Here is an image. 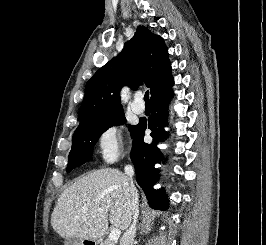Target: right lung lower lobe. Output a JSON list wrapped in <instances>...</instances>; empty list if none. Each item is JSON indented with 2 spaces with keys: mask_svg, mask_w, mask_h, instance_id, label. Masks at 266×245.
<instances>
[{
  "mask_svg": "<svg viewBox=\"0 0 266 245\" xmlns=\"http://www.w3.org/2000/svg\"><path fill=\"white\" fill-rule=\"evenodd\" d=\"M169 83L165 89L151 97L152 113L147 120H140L132 132L133 146L131 159L136 170V180L143 189L149 205L155 208H168L167 195L162 190H154L153 185L159 177V172L154 168V164L161 157L157 148V143L166 138L163 127L166 125L168 95L172 94ZM152 130L151 136L153 143L143 142V136L146 129Z\"/></svg>",
  "mask_w": 266,
  "mask_h": 245,
  "instance_id": "98d812e1",
  "label": "right lung lower lobe"
}]
</instances>
